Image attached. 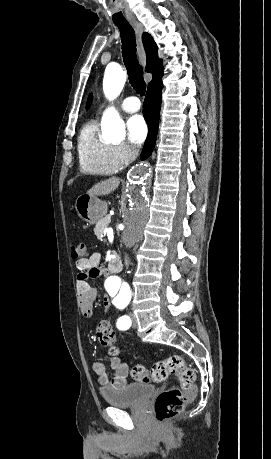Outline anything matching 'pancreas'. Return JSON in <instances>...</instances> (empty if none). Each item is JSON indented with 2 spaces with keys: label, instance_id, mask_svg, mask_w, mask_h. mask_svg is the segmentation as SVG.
I'll use <instances>...</instances> for the list:
<instances>
[{
  "label": "pancreas",
  "instance_id": "obj_1",
  "mask_svg": "<svg viewBox=\"0 0 271 459\" xmlns=\"http://www.w3.org/2000/svg\"><path fill=\"white\" fill-rule=\"evenodd\" d=\"M106 226H108L107 222H106ZM95 231L96 232V237L98 239H103L105 237V232L103 230H101L100 226H97V228H95Z\"/></svg>",
  "mask_w": 271,
  "mask_h": 459
}]
</instances>
